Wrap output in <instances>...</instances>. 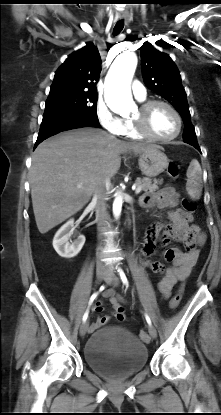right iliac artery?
I'll use <instances>...</instances> for the list:
<instances>
[{
    "label": "right iliac artery",
    "instance_id": "1",
    "mask_svg": "<svg viewBox=\"0 0 221 415\" xmlns=\"http://www.w3.org/2000/svg\"><path fill=\"white\" fill-rule=\"evenodd\" d=\"M104 288H105L104 286H101L100 291H102ZM98 294H99V292H96V293L92 294V296L90 297V300H89V306L92 304V302L98 296ZM88 313H89V309H87L86 312L83 315V318H82L83 322H85L87 320Z\"/></svg>",
    "mask_w": 221,
    "mask_h": 415
}]
</instances>
